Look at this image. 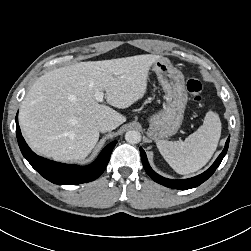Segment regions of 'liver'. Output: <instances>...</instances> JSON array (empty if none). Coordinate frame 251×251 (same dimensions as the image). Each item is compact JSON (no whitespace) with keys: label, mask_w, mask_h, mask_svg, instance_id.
<instances>
[{"label":"liver","mask_w":251,"mask_h":251,"mask_svg":"<svg viewBox=\"0 0 251 251\" xmlns=\"http://www.w3.org/2000/svg\"><path fill=\"white\" fill-rule=\"evenodd\" d=\"M159 55L145 54L102 61L80 62L52 70L32 85L22 101L19 123L29 146L57 161L85 159L99 139L97 121L107 119L115 128L126 118L95 94L125 109L142 98L150 67Z\"/></svg>","instance_id":"liver-1"}]
</instances>
